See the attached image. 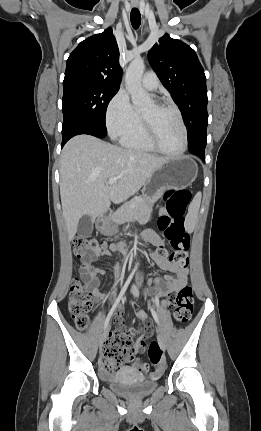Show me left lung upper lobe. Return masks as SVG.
<instances>
[{"label":"left lung upper lobe","instance_id":"left-lung-upper-lobe-1","mask_svg":"<svg viewBox=\"0 0 261 431\" xmlns=\"http://www.w3.org/2000/svg\"><path fill=\"white\" fill-rule=\"evenodd\" d=\"M148 60L182 113L189 149L205 148L208 125L206 77L195 51L166 34L151 48Z\"/></svg>","mask_w":261,"mask_h":431}]
</instances>
